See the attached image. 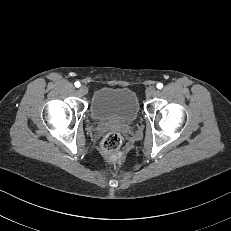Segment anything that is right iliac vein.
<instances>
[{
    "label": "right iliac vein",
    "instance_id": "right-iliac-vein-1",
    "mask_svg": "<svg viewBox=\"0 0 231 231\" xmlns=\"http://www.w3.org/2000/svg\"><path fill=\"white\" fill-rule=\"evenodd\" d=\"M79 91H80L81 94L86 95L88 93V88L86 86L82 85L79 88Z\"/></svg>",
    "mask_w": 231,
    "mask_h": 231
}]
</instances>
